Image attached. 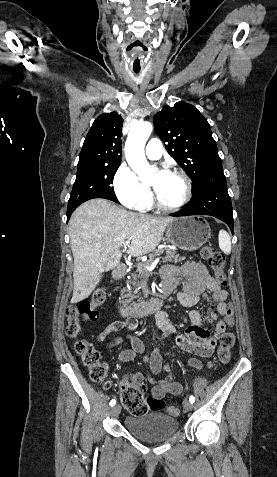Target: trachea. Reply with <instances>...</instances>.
I'll list each match as a JSON object with an SVG mask.
<instances>
[{
	"instance_id": "obj_1",
	"label": "trachea",
	"mask_w": 277,
	"mask_h": 477,
	"mask_svg": "<svg viewBox=\"0 0 277 477\" xmlns=\"http://www.w3.org/2000/svg\"><path fill=\"white\" fill-rule=\"evenodd\" d=\"M135 73H139V71H135Z\"/></svg>"
}]
</instances>
